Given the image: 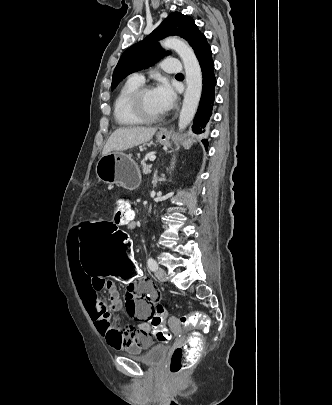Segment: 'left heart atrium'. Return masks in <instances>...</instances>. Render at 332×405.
Listing matches in <instances>:
<instances>
[{
    "label": "left heart atrium",
    "mask_w": 332,
    "mask_h": 405,
    "mask_svg": "<svg viewBox=\"0 0 332 405\" xmlns=\"http://www.w3.org/2000/svg\"><path fill=\"white\" fill-rule=\"evenodd\" d=\"M154 92L164 112L170 110L173 107L176 95L167 81H161L154 89Z\"/></svg>",
    "instance_id": "left-heart-atrium-1"
}]
</instances>
